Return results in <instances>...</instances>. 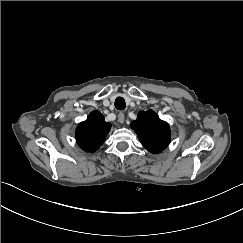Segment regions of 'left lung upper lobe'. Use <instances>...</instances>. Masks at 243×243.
<instances>
[{"label": "left lung upper lobe", "mask_w": 243, "mask_h": 243, "mask_svg": "<svg viewBox=\"0 0 243 243\" xmlns=\"http://www.w3.org/2000/svg\"><path fill=\"white\" fill-rule=\"evenodd\" d=\"M142 145L151 153H159L170 143V128L152 111H141L132 122Z\"/></svg>", "instance_id": "5c2ea615"}]
</instances>
